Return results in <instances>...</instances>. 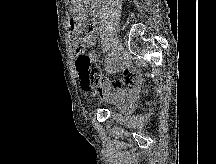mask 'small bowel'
<instances>
[{
    "label": "small bowel",
    "mask_w": 216,
    "mask_h": 164,
    "mask_svg": "<svg viewBox=\"0 0 216 164\" xmlns=\"http://www.w3.org/2000/svg\"><path fill=\"white\" fill-rule=\"evenodd\" d=\"M97 28L95 24H90L82 41L88 48H92L96 42ZM94 57V54H92ZM110 69V66H107ZM122 76H117L113 79H102L100 85L94 92L102 100L115 103L119 108L128 107L135 97L139 89V80L133 74L128 63L122 64Z\"/></svg>",
    "instance_id": "obj_1"
}]
</instances>
